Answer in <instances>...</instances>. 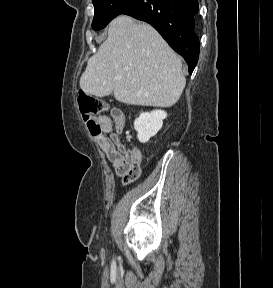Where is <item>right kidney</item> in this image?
I'll use <instances>...</instances> for the list:
<instances>
[{
  "mask_svg": "<svg viewBox=\"0 0 273 288\" xmlns=\"http://www.w3.org/2000/svg\"><path fill=\"white\" fill-rule=\"evenodd\" d=\"M167 113L163 110L143 112L134 121V129L137 131V138L141 143H146L155 136L162 128L163 120Z\"/></svg>",
  "mask_w": 273,
  "mask_h": 288,
  "instance_id": "1",
  "label": "right kidney"
}]
</instances>
